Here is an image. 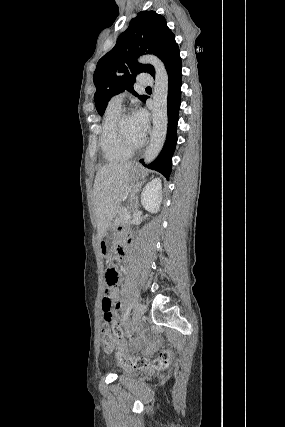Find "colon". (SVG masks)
Wrapping results in <instances>:
<instances>
[{"mask_svg": "<svg viewBox=\"0 0 285 427\" xmlns=\"http://www.w3.org/2000/svg\"><path fill=\"white\" fill-rule=\"evenodd\" d=\"M118 271L113 267H108L105 271L106 292L109 293L118 282ZM118 314L110 313L106 316L105 324L103 325L101 337L103 344L108 352H112L121 336V329L117 322ZM117 361L124 366H132L133 368H144L148 361L143 357L131 356L123 352H117L115 355ZM173 360V353L170 350L161 352L153 362V367L157 370L167 368Z\"/></svg>", "mask_w": 285, "mask_h": 427, "instance_id": "5ec220e1", "label": "colon"}]
</instances>
